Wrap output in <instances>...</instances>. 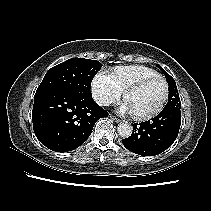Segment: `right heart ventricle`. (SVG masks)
<instances>
[{
    "instance_id": "e07e8e85",
    "label": "right heart ventricle",
    "mask_w": 211,
    "mask_h": 211,
    "mask_svg": "<svg viewBox=\"0 0 211 211\" xmlns=\"http://www.w3.org/2000/svg\"><path fill=\"white\" fill-rule=\"evenodd\" d=\"M112 75L120 89L124 91L139 80L160 75L156 70L144 65H122L113 69Z\"/></svg>"
}]
</instances>
